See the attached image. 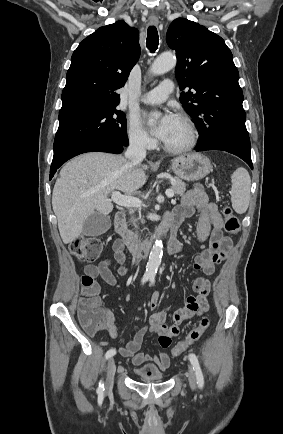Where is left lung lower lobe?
Listing matches in <instances>:
<instances>
[{"label": "left lung lower lobe", "instance_id": "obj_1", "mask_svg": "<svg viewBox=\"0 0 283 434\" xmlns=\"http://www.w3.org/2000/svg\"><path fill=\"white\" fill-rule=\"evenodd\" d=\"M205 150H212V149H209V148H206V147H200V146H198L196 148V151H205ZM213 150H223V151L229 152L231 154H234V155L238 156L239 158H241L242 160H244L250 166V168L253 169V164H252V161H251V155H250V153H245V152H242V151H239V150L227 149V148L213 149Z\"/></svg>", "mask_w": 283, "mask_h": 434}]
</instances>
